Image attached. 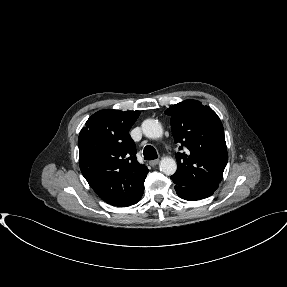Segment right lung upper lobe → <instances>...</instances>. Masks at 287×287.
Instances as JSON below:
<instances>
[{
    "instance_id": "obj_1",
    "label": "right lung upper lobe",
    "mask_w": 287,
    "mask_h": 287,
    "mask_svg": "<svg viewBox=\"0 0 287 287\" xmlns=\"http://www.w3.org/2000/svg\"><path fill=\"white\" fill-rule=\"evenodd\" d=\"M140 111L105 109L93 114L78 138L80 169L106 203L126 207L144 190L148 169L136 160L128 134Z\"/></svg>"
}]
</instances>
